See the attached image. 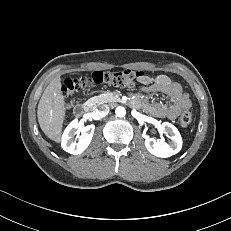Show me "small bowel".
Returning <instances> with one entry per match:
<instances>
[{
  "label": "small bowel",
  "instance_id": "c3829d8e",
  "mask_svg": "<svg viewBox=\"0 0 231 231\" xmlns=\"http://www.w3.org/2000/svg\"><path fill=\"white\" fill-rule=\"evenodd\" d=\"M142 84L143 95L134 98L132 104L142 107L146 112L155 117H165L174 120L178 117L181 110L188 109L191 106L189 94L184 91L178 82L173 81L166 75H144ZM153 93L166 95L171 101V104L150 101L147 95Z\"/></svg>",
  "mask_w": 231,
  "mask_h": 231
}]
</instances>
